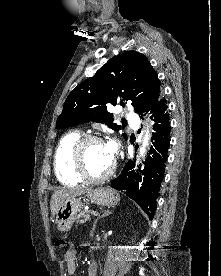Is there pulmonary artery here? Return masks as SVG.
I'll return each instance as SVG.
<instances>
[{
	"label": "pulmonary artery",
	"mask_w": 221,
	"mask_h": 276,
	"mask_svg": "<svg viewBox=\"0 0 221 276\" xmlns=\"http://www.w3.org/2000/svg\"><path fill=\"white\" fill-rule=\"evenodd\" d=\"M127 117L132 122H135L137 119V116L133 112H130Z\"/></svg>",
	"instance_id": "obj_1"
}]
</instances>
